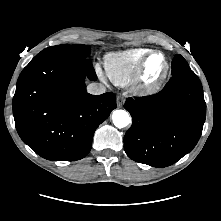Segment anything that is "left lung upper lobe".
Here are the masks:
<instances>
[{
	"label": "left lung upper lobe",
	"mask_w": 221,
	"mask_h": 221,
	"mask_svg": "<svg viewBox=\"0 0 221 221\" xmlns=\"http://www.w3.org/2000/svg\"><path fill=\"white\" fill-rule=\"evenodd\" d=\"M187 69H190V67L186 60L181 55L176 54L172 61V75Z\"/></svg>",
	"instance_id": "5c2ea615"
}]
</instances>
